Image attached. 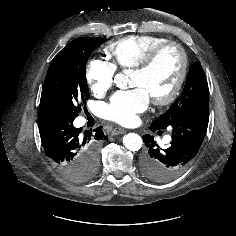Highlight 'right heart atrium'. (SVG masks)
Instances as JSON below:
<instances>
[{
	"label": "right heart atrium",
	"mask_w": 236,
	"mask_h": 236,
	"mask_svg": "<svg viewBox=\"0 0 236 236\" xmlns=\"http://www.w3.org/2000/svg\"><path fill=\"white\" fill-rule=\"evenodd\" d=\"M116 68L100 57L88 60L85 66V80L91 91L97 95H104L113 85Z\"/></svg>",
	"instance_id": "1"
}]
</instances>
